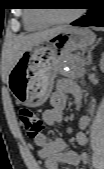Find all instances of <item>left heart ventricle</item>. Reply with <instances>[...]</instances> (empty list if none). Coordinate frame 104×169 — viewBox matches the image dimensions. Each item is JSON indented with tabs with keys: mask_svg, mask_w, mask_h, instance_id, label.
<instances>
[{
	"mask_svg": "<svg viewBox=\"0 0 104 169\" xmlns=\"http://www.w3.org/2000/svg\"><path fill=\"white\" fill-rule=\"evenodd\" d=\"M72 10V9H71ZM69 10H58L54 11L53 16L57 18H63L69 16L73 11Z\"/></svg>",
	"mask_w": 104,
	"mask_h": 169,
	"instance_id": "1",
	"label": "left heart ventricle"
}]
</instances>
